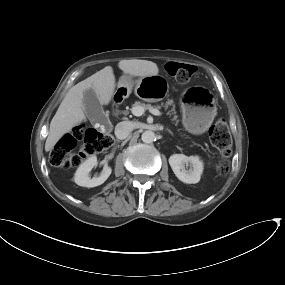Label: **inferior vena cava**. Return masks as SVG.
<instances>
[{"label":"inferior vena cava","instance_id":"602c4592","mask_svg":"<svg viewBox=\"0 0 285 285\" xmlns=\"http://www.w3.org/2000/svg\"><path fill=\"white\" fill-rule=\"evenodd\" d=\"M133 130V125L129 121H123L116 125L115 135L118 139L127 138Z\"/></svg>","mask_w":285,"mask_h":285}]
</instances>
